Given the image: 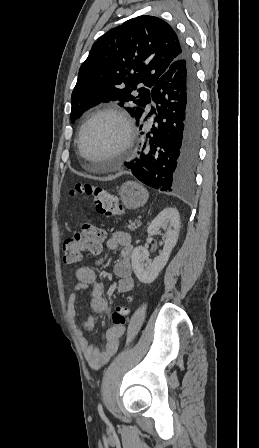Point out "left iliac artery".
<instances>
[{"instance_id":"1","label":"left iliac artery","mask_w":259,"mask_h":448,"mask_svg":"<svg viewBox=\"0 0 259 448\" xmlns=\"http://www.w3.org/2000/svg\"><path fill=\"white\" fill-rule=\"evenodd\" d=\"M98 411H99V414L101 415V417L103 419H105V421H107V419H106V417H105V415L103 413V409H102V405L101 404L98 405Z\"/></svg>"}]
</instances>
